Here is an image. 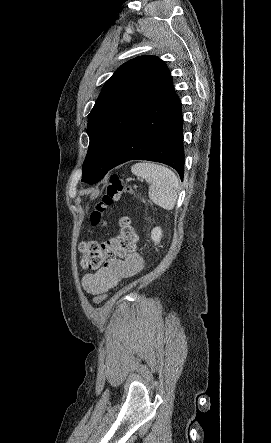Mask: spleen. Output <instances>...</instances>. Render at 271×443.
<instances>
[{
	"mask_svg": "<svg viewBox=\"0 0 271 443\" xmlns=\"http://www.w3.org/2000/svg\"><path fill=\"white\" fill-rule=\"evenodd\" d=\"M134 176L146 180L149 186V198L164 210H173L177 200L178 178L172 170L158 164L140 162L131 168Z\"/></svg>",
	"mask_w": 271,
	"mask_h": 443,
	"instance_id": "spleen-1",
	"label": "spleen"
}]
</instances>
